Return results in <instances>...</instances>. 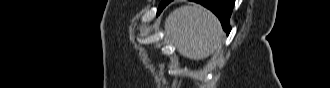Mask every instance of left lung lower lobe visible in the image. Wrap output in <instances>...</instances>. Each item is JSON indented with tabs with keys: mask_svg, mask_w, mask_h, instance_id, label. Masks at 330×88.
I'll return each mask as SVG.
<instances>
[{
	"mask_svg": "<svg viewBox=\"0 0 330 88\" xmlns=\"http://www.w3.org/2000/svg\"><path fill=\"white\" fill-rule=\"evenodd\" d=\"M172 0H162L157 14L159 15L162 10L171 2ZM193 2L199 3L204 7L211 10L220 20L224 31L229 35L231 27L229 25V19L234 7L235 0H191Z\"/></svg>",
	"mask_w": 330,
	"mask_h": 88,
	"instance_id": "0a47b994",
	"label": "left lung lower lobe"
}]
</instances>
